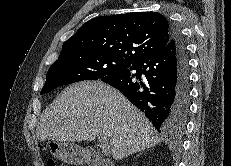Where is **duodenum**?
Here are the masks:
<instances>
[{
	"instance_id": "duodenum-1",
	"label": "duodenum",
	"mask_w": 231,
	"mask_h": 166,
	"mask_svg": "<svg viewBox=\"0 0 231 166\" xmlns=\"http://www.w3.org/2000/svg\"><path fill=\"white\" fill-rule=\"evenodd\" d=\"M84 163L87 166H113L102 155L91 150L85 153Z\"/></svg>"
}]
</instances>
